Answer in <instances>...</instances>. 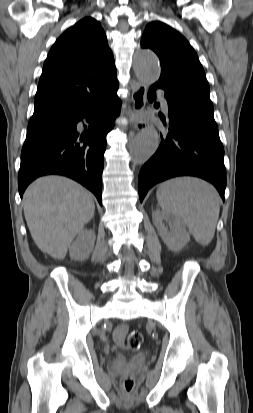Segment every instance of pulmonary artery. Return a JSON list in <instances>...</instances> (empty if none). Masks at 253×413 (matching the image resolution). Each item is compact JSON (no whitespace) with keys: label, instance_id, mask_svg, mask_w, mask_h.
<instances>
[{"label":"pulmonary artery","instance_id":"e3ab8cb5","mask_svg":"<svg viewBox=\"0 0 253 413\" xmlns=\"http://www.w3.org/2000/svg\"><path fill=\"white\" fill-rule=\"evenodd\" d=\"M159 94H160V100H161L162 106H163L164 108H166V107H167V101H166V99L164 98V96L161 94V92H160Z\"/></svg>","mask_w":253,"mask_h":413}]
</instances>
